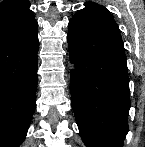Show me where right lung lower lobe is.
<instances>
[{"label": "right lung lower lobe", "mask_w": 145, "mask_h": 147, "mask_svg": "<svg viewBox=\"0 0 145 147\" xmlns=\"http://www.w3.org/2000/svg\"><path fill=\"white\" fill-rule=\"evenodd\" d=\"M38 24L0 40V147H19L36 107Z\"/></svg>", "instance_id": "right-lung-lower-lobe-1"}]
</instances>
